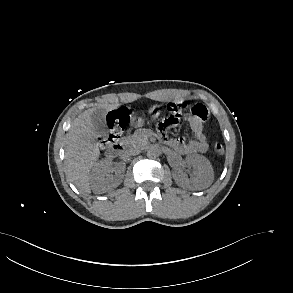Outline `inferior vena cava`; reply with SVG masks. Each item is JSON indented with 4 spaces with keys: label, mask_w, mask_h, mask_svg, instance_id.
Segmentation results:
<instances>
[{
    "label": "inferior vena cava",
    "mask_w": 293,
    "mask_h": 293,
    "mask_svg": "<svg viewBox=\"0 0 293 293\" xmlns=\"http://www.w3.org/2000/svg\"><path fill=\"white\" fill-rule=\"evenodd\" d=\"M140 152H141L140 148H138V147H132V148L127 149L125 151V154L127 156H135V155H138Z\"/></svg>",
    "instance_id": "inferior-vena-cava-1"
}]
</instances>
